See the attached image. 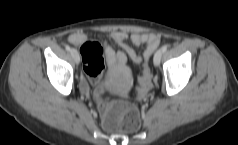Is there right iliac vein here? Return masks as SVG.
I'll list each match as a JSON object with an SVG mask.
<instances>
[{
  "instance_id": "63e3f726",
  "label": "right iliac vein",
  "mask_w": 238,
  "mask_h": 145,
  "mask_svg": "<svg viewBox=\"0 0 238 145\" xmlns=\"http://www.w3.org/2000/svg\"><path fill=\"white\" fill-rule=\"evenodd\" d=\"M71 55L75 61L76 64H79L80 62V55H79V52L76 50V49H72L71 50Z\"/></svg>"
}]
</instances>
